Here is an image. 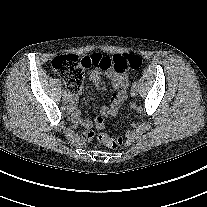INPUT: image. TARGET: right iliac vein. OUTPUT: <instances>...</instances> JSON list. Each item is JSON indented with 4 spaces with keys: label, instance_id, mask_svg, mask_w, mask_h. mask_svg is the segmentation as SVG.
<instances>
[{
    "label": "right iliac vein",
    "instance_id": "right-iliac-vein-1",
    "mask_svg": "<svg viewBox=\"0 0 207 207\" xmlns=\"http://www.w3.org/2000/svg\"><path fill=\"white\" fill-rule=\"evenodd\" d=\"M63 101L65 102V103H68L69 102V96H68V94L67 95H65V96H63Z\"/></svg>",
    "mask_w": 207,
    "mask_h": 207
}]
</instances>
